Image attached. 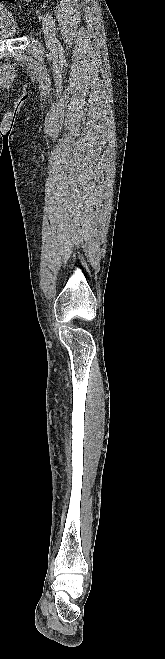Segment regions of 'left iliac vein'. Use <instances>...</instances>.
<instances>
[{
	"mask_svg": "<svg viewBox=\"0 0 165 659\" xmlns=\"http://www.w3.org/2000/svg\"><path fill=\"white\" fill-rule=\"evenodd\" d=\"M42 30H43V33H44L46 43L49 44V45L52 44L54 42V37L51 34L50 27H49V25L46 21H43V23H42Z\"/></svg>",
	"mask_w": 165,
	"mask_h": 659,
	"instance_id": "4c4485c4",
	"label": "left iliac vein"
}]
</instances>
